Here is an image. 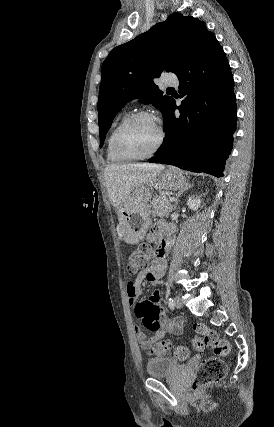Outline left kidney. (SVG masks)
<instances>
[{"mask_svg":"<svg viewBox=\"0 0 274 427\" xmlns=\"http://www.w3.org/2000/svg\"><path fill=\"white\" fill-rule=\"evenodd\" d=\"M201 200L199 198H188L187 206L190 210H198L200 208Z\"/></svg>","mask_w":274,"mask_h":427,"instance_id":"5707ae66","label":"left kidney"}]
</instances>
